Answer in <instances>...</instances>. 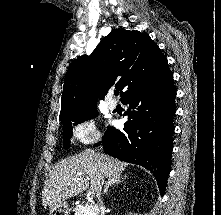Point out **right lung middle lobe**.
Returning a JSON list of instances; mask_svg holds the SVG:
<instances>
[{
    "label": "right lung middle lobe",
    "mask_w": 221,
    "mask_h": 215,
    "mask_svg": "<svg viewBox=\"0 0 221 215\" xmlns=\"http://www.w3.org/2000/svg\"><path fill=\"white\" fill-rule=\"evenodd\" d=\"M98 115L97 108H92L89 110H85L83 112H80L78 114H75L71 117H68L67 119L61 120V122L64 124V146L65 148L69 146L70 139L72 137V125H76L78 123H81L86 120H90L93 117H96Z\"/></svg>",
    "instance_id": "right-lung-middle-lobe-1"
}]
</instances>
